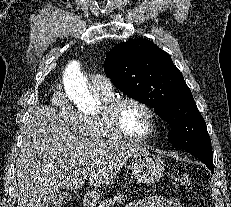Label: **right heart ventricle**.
<instances>
[{
  "label": "right heart ventricle",
  "mask_w": 231,
  "mask_h": 207,
  "mask_svg": "<svg viewBox=\"0 0 231 207\" xmlns=\"http://www.w3.org/2000/svg\"><path fill=\"white\" fill-rule=\"evenodd\" d=\"M94 95L100 100V109L92 114H80L78 131L87 139L94 141L114 140L116 137L107 129L104 118V107L114 99L112 91L93 90Z\"/></svg>",
  "instance_id": "1"
}]
</instances>
